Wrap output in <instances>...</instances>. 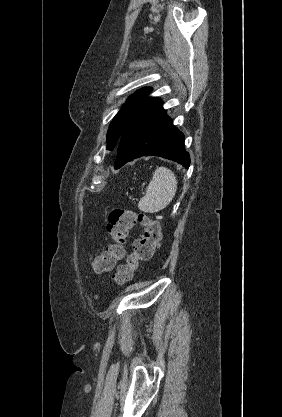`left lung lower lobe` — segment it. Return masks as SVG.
<instances>
[{"instance_id":"left-lung-lower-lobe-1","label":"left lung lower lobe","mask_w":282,"mask_h":417,"mask_svg":"<svg viewBox=\"0 0 282 417\" xmlns=\"http://www.w3.org/2000/svg\"><path fill=\"white\" fill-rule=\"evenodd\" d=\"M161 105V99L147 98L129 115L116 147L115 169L135 158L151 155L189 167L190 157L185 151L184 135L173 125Z\"/></svg>"}]
</instances>
